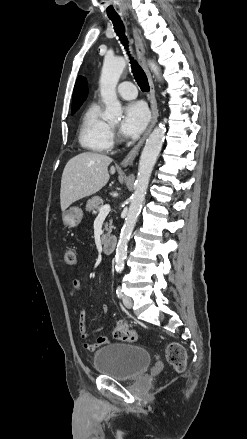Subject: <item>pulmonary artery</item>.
Returning <instances> with one entry per match:
<instances>
[{
  "label": "pulmonary artery",
  "mask_w": 247,
  "mask_h": 439,
  "mask_svg": "<svg viewBox=\"0 0 247 439\" xmlns=\"http://www.w3.org/2000/svg\"><path fill=\"white\" fill-rule=\"evenodd\" d=\"M117 92L120 97L127 100L134 99L137 95L136 88L131 82H122L119 84Z\"/></svg>",
  "instance_id": "e3ab8cb5"
}]
</instances>
